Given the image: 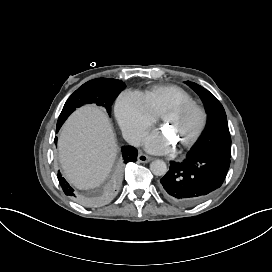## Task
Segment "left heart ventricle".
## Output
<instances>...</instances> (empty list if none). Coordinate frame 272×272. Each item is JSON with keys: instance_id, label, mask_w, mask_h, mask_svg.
Wrapping results in <instances>:
<instances>
[{"instance_id": "obj_1", "label": "left heart ventricle", "mask_w": 272, "mask_h": 272, "mask_svg": "<svg viewBox=\"0 0 272 272\" xmlns=\"http://www.w3.org/2000/svg\"><path fill=\"white\" fill-rule=\"evenodd\" d=\"M162 120L165 123L172 124L175 133L183 141L196 121V114L192 111L181 113L168 112L162 117Z\"/></svg>"}]
</instances>
